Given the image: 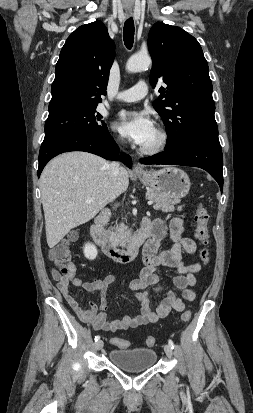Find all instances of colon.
Masks as SVG:
<instances>
[{"label": "colon", "instance_id": "obj_1", "mask_svg": "<svg viewBox=\"0 0 253 413\" xmlns=\"http://www.w3.org/2000/svg\"><path fill=\"white\" fill-rule=\"evenodd\" d=\"M194 221L196 224L195 228V238L200 242L202 248L199 252V257L204 264H208L210 260L208 244H209V214L207 209L203 204H199L195 210ZM76 239L75 234L69 235L66 239L62 240L60 243L51 248L49 252L50 259L57 266L59 271L63 275H68L71 273L70 267V245ZM191 318V312L186 310L181 315V320L183 322H188ZM111 343L121 347L127 348L129 342L121 338H112ZM155 343V338L153 336H148L146 338V344L148 346H153Z\"/></svg>", "mask_w": 253, "mask_h": 413}]
</instances>
